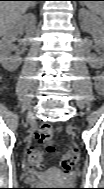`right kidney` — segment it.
Returning <instances> with one entry per match:
<instances>
[{
	"label": "right kidney",
	"mask_w": 104,
	"mask_h": 189,
	"mask_svg": "<svg viewBox=\"0 0 104 189\" xmlns=\"http://www.w3.org/2000/svg\"><path fill=\"white\" fill-rule=\"evenodd\" d=\"M36 17L33 14H26L20 17L6 32L0 40V63L8 71H15L21 64V57L19 56V48L12 42L17 34L24 29H33L35 27ZM30 38H24L20 44L27 45ZM15 52V54H11Z\"/></svg>",
	"instance_id": "1"
}]
</instances>
